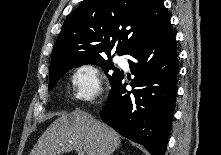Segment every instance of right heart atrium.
<instances>
[{
  "label": "right heart atrium",
  "mask_w": 221,
  "mask_h": 155,
  "mask_svg": "<svg viewBox=\"0 0 221 155\" xmlns=\"http://www.w3.org/2000/svg\"><path fill=\"white\" fill-rule=\"evenodd\" d=\"M74 96L79 102L87 103L98 99L104 92L103 77L92 64L76 67L71 74Z\"/></svg>",
  "instance_id": "right-heart-atrium-1"
}]
</instances>
